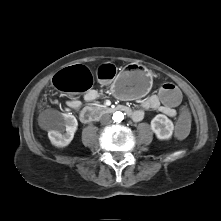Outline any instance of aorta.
I'll use <instances>...</instances> for the list:
<instances>
[{
	"label": "aorta",
	"mask_w": 221,
	"mask_h": 221,
	"mask_svg": "<svg viewBox=\"0 0 221 221\" xmlns=\"http://www.w3.org/2000/svg\"><path fill=\"white\" fill-rule=\"evenodd\" d=\"M112 119L115 122L120 123L124 119V114L120 111H116L115 113H113Z\"/></svg>",
	"instance_id": "762f6f07"
}]
</instances>
